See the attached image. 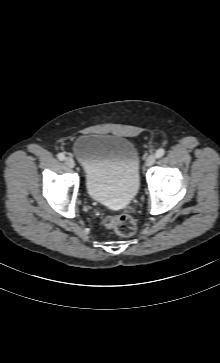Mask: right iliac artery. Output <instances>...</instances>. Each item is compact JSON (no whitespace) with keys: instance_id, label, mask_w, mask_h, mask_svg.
Segmentation results:
<instances>
[{"instance_id":"obj_1","label":"right iliac artery","mask_w":220,"mask_h":363,"mask_svg":"<svg viewBox=\"0 0 220 363\" xmlns=\"http://www.w3.org/2000/svg\"><path fill=\"white\" fill-rule=\"evenodd\" d=\"M57 157H58V159H59V160H61V161H63V160L65 159V155H64L63 153H59V154L57 155Z\"/></svg>"}]
</instances>
